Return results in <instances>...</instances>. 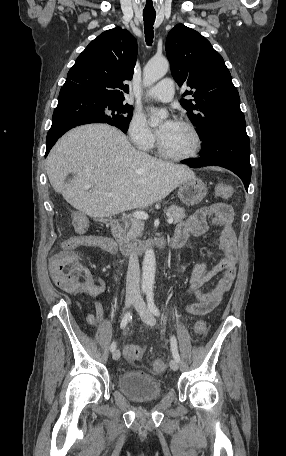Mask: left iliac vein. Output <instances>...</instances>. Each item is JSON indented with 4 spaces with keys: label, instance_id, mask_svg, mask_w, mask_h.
<instances>
[{
    "label": "left iliac vein",
    "instance_id": "left-iliac-vein-1",
    "mask_svg": "<svg viewBox=\"0 0 286 456\" xmlns=\"http://www.w3.org/2000/svg\"><path fill=\"white\" fill-rule=\"evenodd\" d=\"M135 308L138 311V313L140 314L143 321L147 325L153 327L156 324V320H155V317L153 316V313L149 310L146 303L144 302V300L141 297L137 298V301L135 303ZM170 368L173 371H177L179 369V362L176 361L175 359H172L170 361Z\"/></svg>",
    "mask_w": 286,
    "mask_h": 456
}]
</instances>
